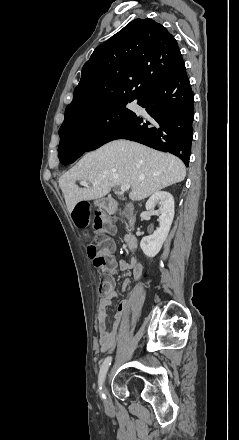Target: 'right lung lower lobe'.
I'll return each mask as SVG.
<instances>
[{"label":"right lung lower lobe","instance_id":"obj_1","mask_svg":"<svg viewBox=\"0 0 239 440\" xmlns=\"http://www.w3.org/2000/svg\"><path fill=\"white\" fill-rule=\"evenodd\" d=\"M137 99L150 117L133 113L127 120L100 134L87 147H64L58 151L60 162L68 165L85 152L122 138L170 152L188 166L194 97L183 58L169 74L154 82Z\"/></svg>","mask_w":239,"mask_h":440}]
</instances>
